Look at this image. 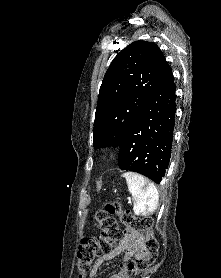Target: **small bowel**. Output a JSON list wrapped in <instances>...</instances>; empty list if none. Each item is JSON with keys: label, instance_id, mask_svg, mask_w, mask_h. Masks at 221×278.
<instances>
[{"label": "small bowel", "instance_id": "obj_1", "mask_svg": "<svg viewBox=\"0 0 221 278\" xmlns=\"http://www.w3.org/2000/svg\"><path fill=\"white\" fill-rule=\"evenodd\" d=\"M123 254V263L120 265V271L111 275L109 278H130L126 269L127 263L132 257H140L143 255V237L142 235L130 228L124 230V237L110 252L99 257L91 269L90 277L95 278L101 267L108 261H111Z\"/></svg>", "mask_w": 221, "mask_h": 278}]
</instances>
